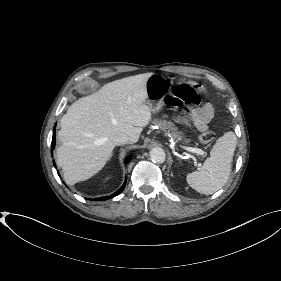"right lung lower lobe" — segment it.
<instances>
[{"label":"right lung lower lobe","mask_w":281,"mask_h":281,"mask_svg":"<svg viewBox=\"0 0 281 281\" xmlns=\"http://www.w3.org/2000/svg\"><path fill=\"white\" fill-rule=\"evenodd\" d=\"M56 125V124H55ZM55 132H56V127L54 126V129H53V138H52V143H51V150H53V148H54V146H55ZM52 156H53V154H52ZM130 160V158L128 159V161ZM55 165V164H54ZM125 185H126V180H125V182L123 183V185H122V187L119 189V190H117L115 193H113V194H111L110 196H106V197H101V198H97V199H93V200H101V201H103V200H108V199H110V198H113L114 196H117L118 194H120L123 190H124V188H125Z\"/></svg>","instance_id":"obj_1"}]
</instances>
